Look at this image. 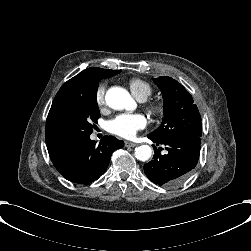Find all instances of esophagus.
Segmentation results:
<instances>
[{
    "instance_id": "34e87169",
    "label": "esophagus",
    "mask_w": 251,
    "mask_h": 251,
    "mask_svg": "<svg viewBox=\"0 0 251 251\" xmlns=\"http://www.w3.org/2000/svg\"><path fill=\"white\" fill-rule=\"evenodd\" d=\"M125 146H126V147H135V146H137V144L134 143V142H128V141H126V142H125Z\"/></svg>"
}]
</instances>
